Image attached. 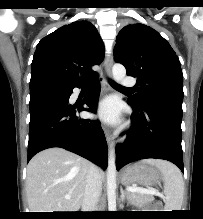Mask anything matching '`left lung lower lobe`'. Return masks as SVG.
I'll list each match as a JSON object with an SVG mask.
<instances>
[{"instance_id":"0a47b994","label":"left lung lower lobe","mask_w":203,"mask_h":219,"mask_svg":"<svg viewBox=\"0 0 203 219\" xmlns=\"http://www.w3.org/2000/svg\"><path fill=\"white\" fill-rule=\"evenodd\" d=\"M133 108L132 127L124 142L116 145L117 170L122 166L146 158L164 159L183 172L182 101L152 98Z\"/></svg>"}]
</instances>
